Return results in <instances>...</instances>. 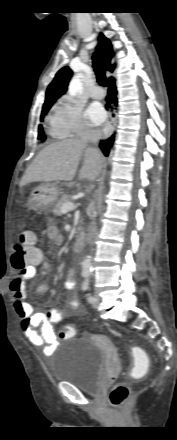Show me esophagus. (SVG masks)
Here are the masks:
<instances>
[{"label": "esophagus", "instance_id": "obj_1", "mask_svg": "<svg viewBox=\"0 0 177 440\" xmlns=\"http://www.w3.org/2000/svg\"><path fill=\"white\" fill-rule=\"evenodd\" d=\"M116 122H117V115H116L115 107L114 105H110L108 112V120L103 128L104 138H108L113 134L116 127Z\"/></svg>", "mask_w": 177, "mask_h": 440}]
</instances>
